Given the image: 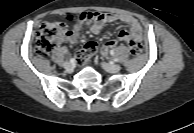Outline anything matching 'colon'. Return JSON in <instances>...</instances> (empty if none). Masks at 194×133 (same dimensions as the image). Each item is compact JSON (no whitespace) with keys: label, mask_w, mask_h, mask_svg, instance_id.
Segmentation results:
<instances>
[{"label":"colon","mask_w":194,"mask_h":133,"mask_svg":"<svg viewBox=\"0 0 194 133\" xmlns=\"http://www.w3.org/2000/svg\"><path fill=\"white\" fill-rule=\"evenodd\" d=\"M68 19H70V17ZM66 32V24L63 22L43 23L36 33L35 51L37 55L40 57L48 56L56 42L61 39ZM129 49L133 56H137L142 51V44L137 40H131ZM95 51L96 44L94 42L87 43L76 56L78 63H86Z\"/></svg>","instance_id":"colon-1"}]
</instances>
